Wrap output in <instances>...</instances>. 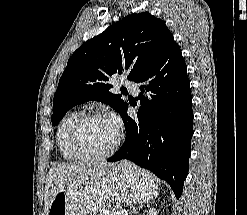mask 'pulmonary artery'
Here are the masks:
<instances>
[{
  "label": "pulmonary artery",
  "instance_id": "obj_1",
  "mask_svg": "<svg viewBox=\"0 0 247 215\" xmlns=\"http://www.w3.org/2000/svg\"><path fill=\"white\" fill-rule=\"evenodd\" d=\"M124 85L126 88L132 93V94H138L139 93V86L138 84L132 82V81H124Z\"/></svg>",
  "mask_w": 247,
  "mask_h": 215
}]
</instances>
